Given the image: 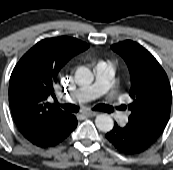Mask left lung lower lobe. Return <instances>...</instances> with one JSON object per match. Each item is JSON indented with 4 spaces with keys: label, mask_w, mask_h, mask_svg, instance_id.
<instances>
[{
    "label": "left lung lower lobe",
    "mask_w": 173,
    "mask_h": 170,
    "mask_svg": "<svg viewBox=\"0 0 173 170\" xmlns=\"http://www.w3.org/2000/svg\"><path fill=\"white\" fill-rule=\"evenodd\" d=\"M106 138L120 153L125 155L142 153L155 142L135 126L127 124L125 127H120L117 123L106 134Z\"/></svg>",
    "instance_id": "left-lung-lower-lobe-1"
}]
</instances>
